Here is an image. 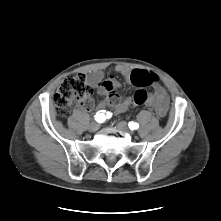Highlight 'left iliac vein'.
Instances as JSON below:
<instances>
[{"label": "left iliac vein", "mask_w": 221, "mask_h": 221, "mask_svg": "<svg viewBox=\"0 0 221 221\" xmlns=\"http://www.w3.org/2000/svg\"><path fill=\"white\" fill-rule=\"evenodd\" d=\"M117 127L118 129H120L121 131H124V132H127L129 134H133V132L131 130H129L128 126H127V123L124 122V121H120L118 124H117Z\"/></svg>", "instance_id": "left-iliac-vein-1"}]
</instances>
